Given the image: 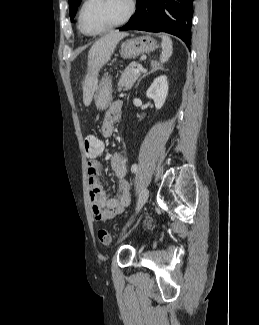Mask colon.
I'll use <instances>...</instances> for the list:
<instances>
[{
  "mask_svg": "<svg viewBox=\"0 0 259 325\" xmlns=\"http://www.w3.org/2000/svg\"><path fill=\"white\" fill-rule=\"evenodd\" d=\"M84 147L85 152L90 154L96 152L97 150H103L104 146L101 138H96L93 135H89L84 140ZM97 237L102 245L108 246L111 244V235L107 230H98Z\"/></svg>",
  "mask_w": 259,
  "mask_h": 325,
  "instance_id": "obj_1",
  "label": "colon"
}]
</instances>
